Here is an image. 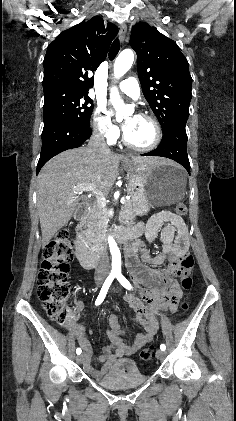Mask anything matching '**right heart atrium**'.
<instances>
[{
	"label": "right heart atrium",
	"instance_id": "right-heart-atrium-1",
	"mask_svg": "<svg viewBox=\"0 0 236 421\" xmlns=\"http://www.w3.org/2000/svg\"><path fill=\"white\" fill-rule=\"evenodd\" d=\"M92 128L97 137L105 142H112L119 135L117 127L113 124L109 113L102 105H98L93 111Z\"/></svg>",
	"mask_w": 236,
	"mask_h": 421
}]
</instances>
